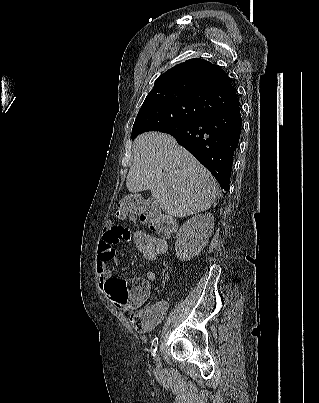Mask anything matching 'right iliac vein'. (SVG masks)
<instances>
[{
	"mask_svg": "<svg viewBox=\"0 0 319 403\" xmlns=\"http://www.w3.org/2000/svg\"><path fill=\"white\" fill-rule=\"evenodd\" d=\"M155 360H156V367H157V370H159V369H160V365H161L159 354L156 355Z\"/></svg>",
	"mask_w": 319,
	"mask_h": 403,
	"instance_id": "1",
	"label": "right iliac vein"
}]
</instances>
